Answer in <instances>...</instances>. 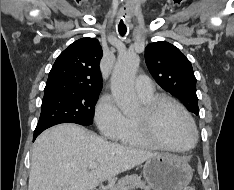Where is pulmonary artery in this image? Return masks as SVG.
Listing matches in <instances>:
<instances>
[{"instance_id":"pulmonary-artery-1","label":"pulmonary artery","mask_w":234,"mask_h":190,"mask_svg":"<svg viewBox=\"0 0 234 190\" xmlns=\"http://www.w3.org/2000/svg\"><path fill=\"white\" fill-rule=\"evenodd\" d=\"M135 89L140 97H148L154 93L152 81L145 75H140L137 78Z\"/></svg>"}]
</instances>
